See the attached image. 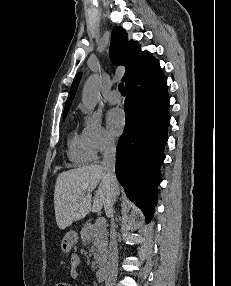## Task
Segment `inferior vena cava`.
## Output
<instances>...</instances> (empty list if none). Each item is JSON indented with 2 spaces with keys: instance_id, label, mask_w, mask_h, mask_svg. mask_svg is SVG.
Masks as SVG:
<instances>
[{
  "instance_id": "1",
  "label": "inferior vena cava",
  "mask_w": 231,
  "mask_h": 286,
  "mask_svg": "<svg viewBox=\"0 0 231 286\" xmlns=\"http://www.w3.org/2000/svg\"><path fill=\"white\" fill-rule=\"evenodd\" d=\"M115 156L116 147L113 140H106L104 144L103 151V161L102 168L105 171L106 179L110 185L109 202L106 207V214L111 217V229H110V243L108 251V261L106 265L105 274V286H115L117 278V268H118V248L116 241V229L113 219L114 215V198L112 188L117 184V179L115 175Z\"/></svg>"
}]
</instances>
